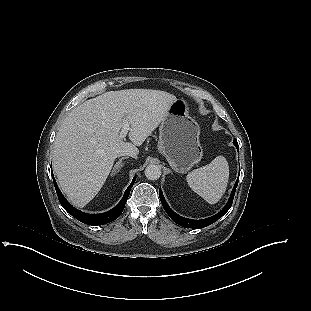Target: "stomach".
Here are the masks:
<instances>
[{
  "label": "stomach",
  "mask_w": 311,
  "mask_h": 311,
  "mask_svg": "<svg viewBox=\"0 0 311 311\" xmlns=\"http://www.w3.org/2000/svg\"><path fill=\"white\" fill-rule=\"evenodd\" d=\"M199 126L188 114V103L177 99L159 127L158 151L178 173L188 172L203 155Z\"/></svg>",
  "instance_id": "stomach-1"
}]
</instances>
